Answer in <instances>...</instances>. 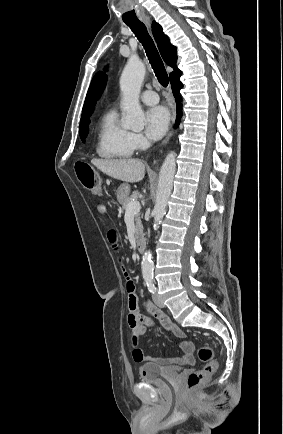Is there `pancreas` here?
Here are the masks:
<instances>
[{"instance_id":"obj_1","label":"pancreas","mask_w":283,"mask_h":434,"mask_svg":"<svg viewBox=\"0 0 283 434\" xmlns=\"http://www.w3.org/2000/svg\"><path fill=\"white\" fill-rule=\"evenodd\" d=\"M137 199H138L137 193L133 192V194L130 197H128L124 203H122V210L126 212L128 204L130 202L137 201ZM135 222H136V235L138 236L139 234L142 233L143 230L140 215L138 213L135 214Z\"/></svg>"}]
</instances>
